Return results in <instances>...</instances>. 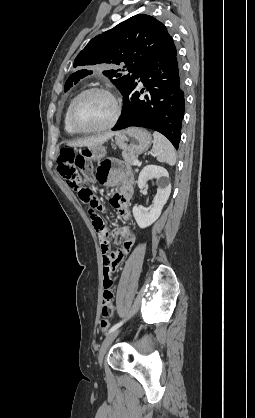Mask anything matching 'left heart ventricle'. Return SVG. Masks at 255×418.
<instances>
[{
	"instance_id": "b2bd125f",
	"label": "left heart ventricle",
	"mask_w": 255,
	"mask_h": 418,
	"mask_svg": "<svg viewBox=\"0 0 255 418\" xmlns=\"http://www.w3.org/2000/svg\"><path fill=\"white\" fill-rule=\"evenodd\" d=\"M114 112L111 99L102 93H91L85 96L77 106L75 122L83 128L105 125Z\"/></svg>"
}]
</instances>
